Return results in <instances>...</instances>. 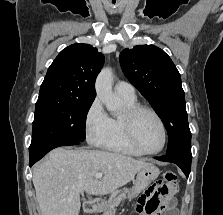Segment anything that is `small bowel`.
<instances>
[{"instance_id": "obj_1", "label": "small bowel", "mask_w": 223, "mask_h": 215, "mask_svg": "<svg viewBox=\"0 0 223 215\" xmlns=\"http://www.w3.org/2000/svg\"><path fill=\"white\" fill-rule=\"evenodd\" d=\"M176 192L177 185L157 181L140 196L136 211L142 215H161V212L166 209L165 215H176L174 199ZM153 206H157L158 210H153Z\"/></svg>"}]
</instances>
